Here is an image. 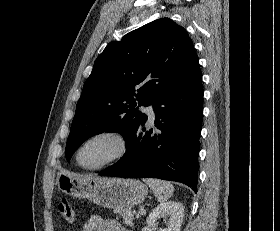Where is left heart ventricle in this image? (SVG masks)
I'll return each instance as SVG.
<instances>
[{
	"mask_svg": "<svg viewBox=\"0 0 280 231\" xmlns=\"http://www.w3.org/2000/svg\"><path fill=\"white\" fill-rule=\"evenodd\" d=\"M121 149L119 140L101 135L89 140L80 153V164L87 169L100 167L113 159Z\"/></svg>",
	"mask_w": 280,
	"mask_h": 231,
	"instance_id": "1",
	"label": "left heart ventricle"
}]
</instances>
